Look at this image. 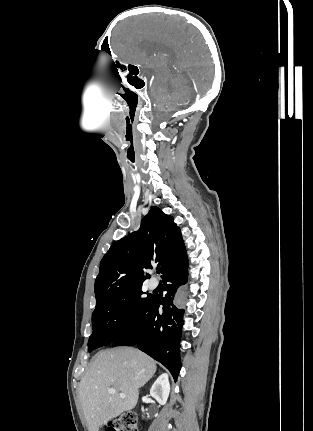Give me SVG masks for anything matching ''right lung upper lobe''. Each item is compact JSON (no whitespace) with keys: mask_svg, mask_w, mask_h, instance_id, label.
Here are the masks:
<instances>
[{"mask_svg":"<svg viewBox=\"0 0 313 431\" xmlns=\"http://www.w3.org/2000/svg\"><path fill=\"white\" fill-rule=\"evenodd\" d=\"M184 248L173 217L153 206L141 220L140 229L115 242L102 258L95 281L97 303L141 287L149 277L144 271L152 262L162 266L164 275Z\"/></svg>","mask_w":313,"mask_h":431,"instance_id":"obj_1","label":"right lung upper lobe"}]
</instances>
